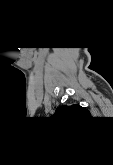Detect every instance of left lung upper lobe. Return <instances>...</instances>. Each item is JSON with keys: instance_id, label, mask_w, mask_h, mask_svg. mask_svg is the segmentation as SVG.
Here are the masks:
<instances>
[{"instance_id": "obj_1", "label": "left lung upper lobe", "mask_w": 113, "mask_h": 165, "mask_svg": "<svg viewBox=\"0 0 113 165\" xmlns=\"http://www.w3.org/2000/svg\"><path fill=\"white\" fill-rule=\"evenodd\" d=\"M55 114H64V115H71V116H75V117H85L89 114V111L83 107H81L80 105H71V106H62L59 107Z\"/></svg>"}]
</instances>
